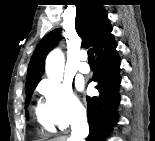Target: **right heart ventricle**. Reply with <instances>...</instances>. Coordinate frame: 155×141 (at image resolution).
<instances>
[{"mask_svg": "<svg viewBox=\"0 0 155 141\" xmlns=\"http://www.w3.org/2000/svg\"><path fill=\"white\" fill-rule=\"evenodd\" d=\"M36 115H37L38 122L45 130L49 132L54 131V123L49 118L45 107L38 106L36 109Z\"/></svg>", "mask_w": 155, "mask_h": 141, "instance_id": "obj_1", "label": "right heart ventricle"}]
</instances>
